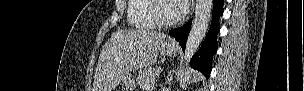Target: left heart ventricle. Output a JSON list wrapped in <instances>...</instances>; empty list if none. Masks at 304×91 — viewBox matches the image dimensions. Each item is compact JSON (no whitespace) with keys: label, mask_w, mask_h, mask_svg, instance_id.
<instances>
[{"label":"left heart ventricle","mask_w":304,"mask_h":91,"mask_svg":"<svg viewBox=\"0 0 304 91\" xmlns=\"http://www.w3.org/2000/svg\"><path fill=\"white\" fill-rule=\"evenodd\" d=\"M161 15L165 19H176L180 16L176 1H165L161 3Z\"/></svg>","instance_id":"b2bd125f"}]
</instances>
